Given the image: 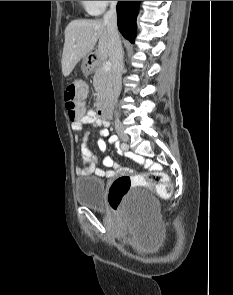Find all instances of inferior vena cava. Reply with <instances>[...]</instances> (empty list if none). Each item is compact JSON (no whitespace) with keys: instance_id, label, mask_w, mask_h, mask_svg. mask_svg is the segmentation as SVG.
<instances>
[{"instance_id":"1","label":"inferior vena cava","mask_w":233,"mask_h":295,"mask_svg":"<svg viewBox=\"0 0 233 295\" xmlns=\"http://www.w3.org/2000/svg\"><path fill=\"white\" fill-rule=\"evenodd\" d=\"M117 1H110V9L104 14L103 21L107 25L109 34V56L112 63L111 93L108 101L110 107L117 103L121 91V78L124 68L123 50L117 29Z\"/></svg>"}]
</instances>
